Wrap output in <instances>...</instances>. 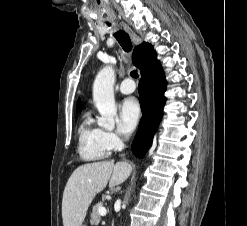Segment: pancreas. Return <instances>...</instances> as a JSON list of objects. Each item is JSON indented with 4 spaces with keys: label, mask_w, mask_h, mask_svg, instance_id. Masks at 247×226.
I'll return each instance as SVG.
<instances>
[{
    "label": "pancreas",
    "mask_w": 247,
    "mask_h": 226,
    "mask_svg": "<svg viewBox=\"0 0 247 226\" xmlns=\"http://www.w3.org/2000/svg\"><path fill=\"white\" fill-rule=\"evenodd\" d=\"M100 207H103V203L101 202L97 203L92 209L91 222L94 224H98L100 222V214L98 211Z\"/></svg>",
    "instance_id": "cf45deb5"
}]
</instances>
